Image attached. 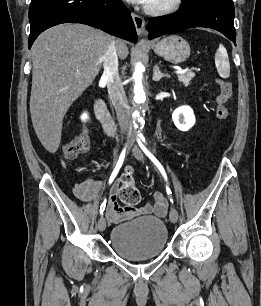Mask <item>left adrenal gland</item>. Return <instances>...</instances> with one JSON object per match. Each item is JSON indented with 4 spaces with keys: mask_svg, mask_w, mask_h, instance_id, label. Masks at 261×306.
<instances>
[{
    "mask_svg": "<svg viewBox=\"0 0 261 306\" xmlns=\"http://www.w3.org/2000/svg\"><path fill=\"white\" fill-rule=\"evenodd\" d=\"M163 77L170 78V75L161 73L159 67L156 65L153 70V80L158 82Z\"/></svg>",
    "mask_w": 261,
    "mask_h": 306,
    "instance_id": "a2214340",
    "label": "left adrenal gland"
}]
</instances>
